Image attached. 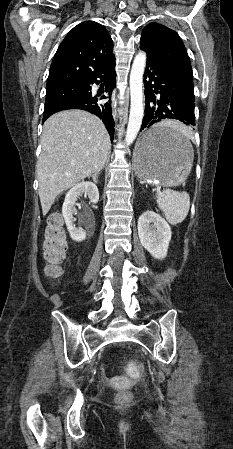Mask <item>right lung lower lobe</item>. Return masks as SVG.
<instances>
[{"mask_svg": "<svg viewBox=\"0 0 233 449\" xmlns=\"http://www.w3.org/2000/svg\"><path fill=\"white\" fill-rule=\"evenodd\" d=\"M97 78H100V81H106L105 92L109 95L110 98L112 91L115 88L116 82L115 62L111 66H109L102 74L84 84L87 89V93L84 96L44 109L43 122L52 114L62 110H86L97 115L104 122L106 129L111 136V140H113L114 120L112 117L111 101L109 100L106 103L101 102V100L106 99L107 97L105 95H101V93L94 94L91 91V84L99 83Z\"/></svg>", "mask_w": 233, "mask_h": 449, "instance_id": "98d812e1", "label": "right lung lower lobe"}]
</instances>
